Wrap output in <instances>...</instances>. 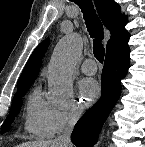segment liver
Returning a JSON list of instances; mask_svg holds the SVG:
<instances>
[{"mask_svg":"<svg viewBox=\"0 0 145 147\" xmlns=\"http://www.w3.org/2000/svg\"><path fill=\"white\" fill-rule=\"evenodd\" d=\"M18 147H62L57 143V140H48V141H32L25 142Z\"/></svg>","mask_w":145,"mask_h":147,"instance_id":"obj_1","label":"liver"}]
</instances>
